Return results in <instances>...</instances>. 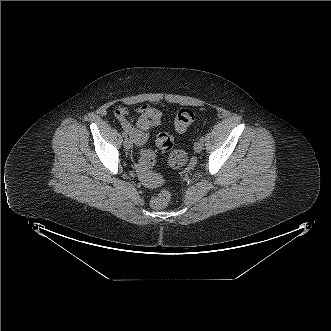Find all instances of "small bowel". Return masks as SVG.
<instances>
[{
	"mask_svg": "<svg viewBox=\"0 0 331 331\" xmlns=\"http://www.w3.org/2000/svg\"><path fill=\"white\" fill-rule=\"evenodd\" d=\"M149 108L153 107L149 105L139 107L138 118L135 115H131L129 110L124 106L118 107L114 113L121 128L131 136L132 142L138 147L144 146L148 140V135L143 137L141 134V129L139 126V115L141 112ZM140 160L144 165L152 164L154 161L153 152L151 150L141 151Z\"/></svg>",
	"mask_w": 331,
	"mask_h": 331,
	"instance_id": "c3829d8e",
	"label": "small bowel"
}]
</instances>
